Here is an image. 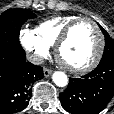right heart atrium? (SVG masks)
Wrapping results in <instances>:
<instances>
[{
	"instance_id": "d8ad5b80",
	"label": "right heart atrium",
	"mask_w": 114,
	"mask_h": 114,
	"mask_svg": "<svg viewBox=\"0 0 114 114\" xmlns=\"http://www.w3.org/2000/svg\"><path fill=\"white\" fill-rule=\"evenodd\" d=\"M19 39L21 45L30 53L34 62H41L49 55L50 48L38 39L33 30L22 29Z\"/></svg>"
}]
</instances>
